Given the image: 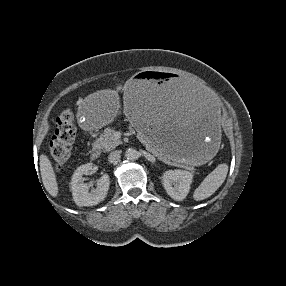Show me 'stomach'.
<instances>
[{"mask_svg": "<svg viewBox=\"0 0 286 286\" xmlns=\"http://www.w3.org/2000/svg\"><path fill=\"white\" fill-rule=\"evenodd\" d=\"M121 108L119 94L100 87L78 102L75 116L82 127L97 130ZM124 114L151 147L172 161L200 165L217 148L220 105L188 78L167 71L138 73L126 86Z\"/></svg>", "mask_w": 286, "mask_h": 286, "instance_id": "0dacf381", "label": "stomach"}]
</instances>
